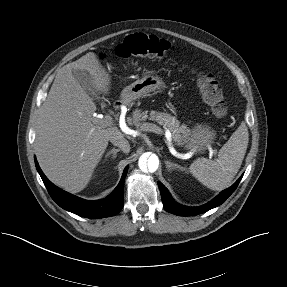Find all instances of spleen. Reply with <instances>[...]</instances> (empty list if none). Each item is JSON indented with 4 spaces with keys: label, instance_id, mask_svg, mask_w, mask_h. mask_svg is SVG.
I'll return each instance as SVG.
<instances>
[{
    "label": "spleen",
    "instance_id": "obj_1",
    "mask_svg": "<svg viewBox=\"0 0 287 287\" xmlns=\"http://www.w3.org/2000/svg\"><path fill=\"white\" fill-rule=\"evenodd\" d=\"M249 142L248 128L242 122L218 152V158H198L190 165V173L212 190H223L239 171Z\"/></svg>",
    "mask_w": 287,
    "mask_h": 287
}]
</instances>
